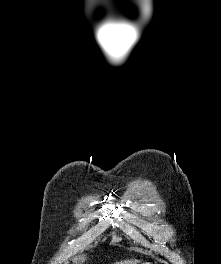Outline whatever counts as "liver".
<instances>
[{"mask_svg":"<svg viewBox=\"0 0 221 264\" xmlns=\"http://www.w3.org/2000/svg\"><path fill=\"white\" fill-rule=\"evenodd\" d=\"M115 264H136V260H126V261H121V262H116Z\"/></svg>","mask_w":221,"mask_h":264,"instance_id":"6515ba94","label":"liver"}]
</instances>
